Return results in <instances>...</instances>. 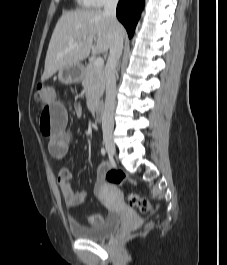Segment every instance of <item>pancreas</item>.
I'll return each instance as SVG.
<instances>
[{
	"mask_svg": "<svg viewBox=\"0 0 227 265\" xmlns=\"http://www.w3.org/2000/svg\"><path fill=\"white\" fill-rule=\"evenodd\" d=\"M82 85L86 91L89 106L95 105L103 95L105 88V76L103 67H95L90 62L84 69Z\"/></svg>",
	"mask_w": 227,
	"mask_h": 265,
	"instance_id": "pancreas-1",
	"label": "pancreas"
}]
</instances>
